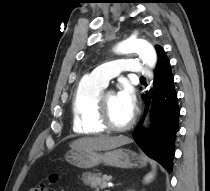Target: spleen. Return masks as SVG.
Segmentation results:
<instances>
[{"instance_id":"obj_1","label":"spleen","mask_w":210,"mask_h":191,"mask_svg":"<svg viewBox=\"0 0 210 191\" xmlns=\"http://www.w3.org/2000/svg\"><path fill=\"white\" fill-rule=\"evenodd\" d=\"M152 169H153V171L145 176V178H144L145 183H149L153 180V178L155 176V171H156L155 164H152Z\"/></svg>"}]
</instances>
